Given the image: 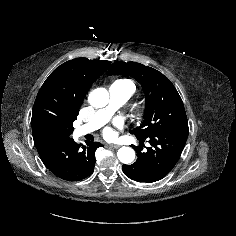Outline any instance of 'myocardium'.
Segmentation results:
<instances>
[{
    "label": "myocardium",
    "instance_id": "obj_1",
    "mask_svg": "<svg viewBox=\"0 0 236 236\" xmlns=\"http://www.w3.org/2000/svg\"><path fill=\"white\" fill-rule=\"evenodd\" d=\"M137 114H138V115L143 114V109H142V108L137 109Z\"/></svg>",
    "mask_w": 236,
    "mask_h": 236
}]
</instances>
